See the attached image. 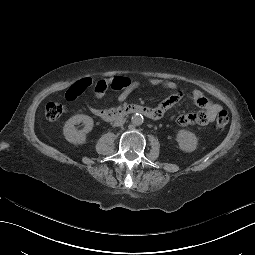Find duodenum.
<instances>
[{"label":"duodenum","mask_w":255,"mask_h":255,"mask_svg":"<svg viewBox=\"0 0 255 255\" xmlns=\"http://www.w3.org/2000/svg\"><path fill=\"white\" fill-rule=\"evenodd\" d=\"M92 112L105 121H114L135 113L142 114L153 120H157L159 118V114L157 113L156 109L137 104L109 109H94Z\"/></svg>","instance_id":"obj_1"}]
</instances>
